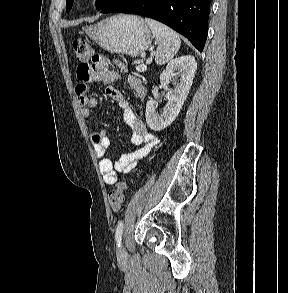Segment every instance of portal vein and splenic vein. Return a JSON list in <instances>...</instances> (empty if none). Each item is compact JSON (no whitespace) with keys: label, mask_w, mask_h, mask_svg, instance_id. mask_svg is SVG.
Here are the masks:
<instances>
[{"label":"portal vein and splenic vein","mask_w":288,"mask_h":293,"mask_svg":"<svg viewBox=\"0 0 288 293\" xmlns=\"http://www.w3.org/2000/svg\"><path fill=\"white\" fill-rule=\"evenodd\" d=\"M151 62V59H148L146 60V63H149ZM136 69L139 71V72H144L147 70V65L145 64H140L139 66L136 67Z\"/></svg>","instance_id":"obj_1"}]
</instances>
